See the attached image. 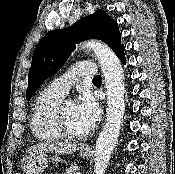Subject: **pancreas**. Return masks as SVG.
<instances>
[{"mask_svg":"<svg viewBox=\"0 0 175 174\" xmlns=\"http://www.w3.org/2000/svg\"><path fill=\"white\" fill-rule=\"evenodd\" d=\"M77 170H78L77 165H71L68 169H66L65 174H76Z\"/></svg>","mask_w":175,"mask_h":174,"instance_id":"obj_1","label":"pancreas"}]
</instances>
